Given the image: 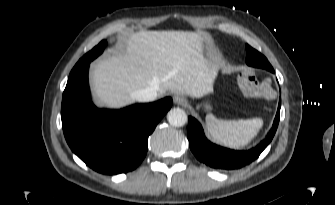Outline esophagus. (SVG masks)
I'll list each match as a JSON object with an SVG mask.
<instances>
[{
    "label": "esophagus",
    "instance_id": "1",
    "mask_svg": "<svg viewBox=\"0 0 335 205\" xmlns=\"http://www.w3.org/2000/svg\"><path fill=\"white\" fill-rule=\"evenodd\" d=\"M173 101L177 105H184L187 103L186 98L178 94L173 97Z\"/></svg>",
    "mask_w": 335,
    "mask_h": 205
}]
</instances>
